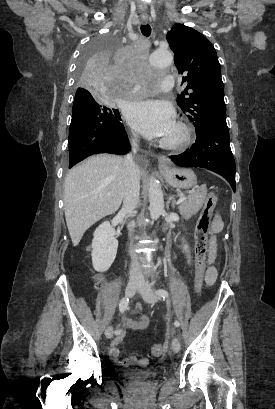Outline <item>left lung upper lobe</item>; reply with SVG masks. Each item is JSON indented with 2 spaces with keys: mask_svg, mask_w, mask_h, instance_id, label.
I'll use <instances>...</instances> for the list:
<instances>
[{
  "mask_svg": "<svg viewBox=\"0 0 275 409\" xmlns=\"http://www.w3.org/2000/svg\"><path fill=\"white\" fill-rule=\"evenodd\" d=\"M167 41L186 85L177 103L194 121L196 133L208 125H227L221 67L213 45L201 33L180 23L167 33Z\"/></svg>",
  "mask_w": 275,
  "mask_h": 409,
  "instance_id": "obj_1",
  "label": "left lung upper lobe"
}]
</instances>
